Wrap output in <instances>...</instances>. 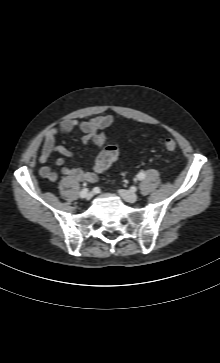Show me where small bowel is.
Instances as JSON below:
<instances>
[{"mask_svg":"<svg viewBox=\"0 0 220 363\" xmlns=\"http://www.w3.org/2000/svg\"><path fill=\"white\" fill-rule=\"evenodd\" d=\"M114 119L110 115L96 116L88 120L69 119L60 123L58 127H52L45 135L44 143L39 161L46 163L51 155L58 153L66 158H74V153L68 148L56 144V136L58 133H69L75 128L80 129L83 133L82 141L91 143L96 147V155L94 158L93 170L82 169L77 166H63V160L58 159L57 164L61 166V172L65 176L77 180L96 182L99 174L107 167L103 166V152L105 149L107 134L105 130L110 127ZM39 175L51 182L58 180V174L48 166H42L39 169Z\"/></svg>","mask_w":220,"mask_h":363,"instance_id":"obj_1","label":"small bowel"}]
</instances>
